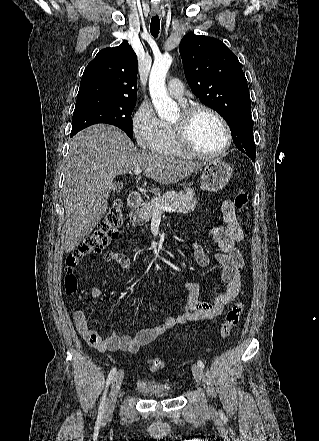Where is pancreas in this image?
<instances>
[{"label": "pancreas", "instance_id": "obj_1", "mask_svg": "<svg viewBox=\"0 0 319 441\" xmlns=\"http://www.w3.org/2000/svg\"><path fill=\"white\" fill-rule=\"evenodd\" d=\"M197 204L198 202L192 188H187L180 193L174 191L167 192L162 197H156L150 201L143 202L134 211L131 222L135 226L143 221H149L155 213L156 206L170 207L173 211L177 210L178 213H189L194 210Z\"/></svg>", "mask_w": 319, "mask_h": 441}]
</instances>
